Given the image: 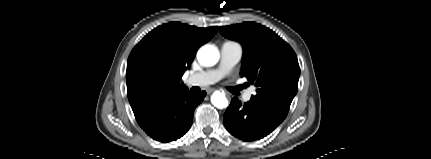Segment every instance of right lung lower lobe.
I'll return each instance as SVG.
<instances>
[{
  "label": "right lung lower lobe",
  "mask_w": 431,
  "mask_h": 159,
  "mask_svg": "<svg viewBox=\"0 0 431 159\" xmlns=\"http://www.w3.org/2000/svg\"><path fill=\"white\" fill-rule=\"evenodd\" d=\"M205 96V91L195 95L185 89L152 106L136 120L153 139L162 143L175 141L189 130L194 110Z\"/></svg>",
  "instance_id": "obj_1"
}]
</instances>
